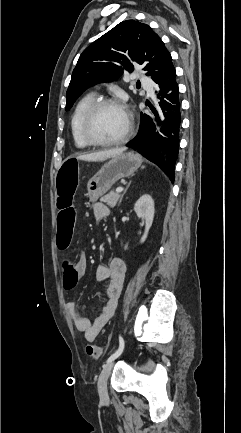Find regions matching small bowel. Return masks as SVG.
<instances>
[{"label": "small bowel", "mask_w": 241, "mask_h": 433, "mask_svg": "<svg viewBox=\"0 0 241 433\" xmlns=\"http://www.w3.org/2000/svg\"><path fill=\"white\" fill-rule=\"evenodd\" d=\"M56 181L55 178V182ZM92 211L94 218L97 220H102L109 215V208L101 202L94 203ZM86 266V255L82 252L80 253L77 262V271L80 275L85 273ZM125 272L126 264L123 259L119 257H113L108 265H99L96 268V279L98 281L109 280V284L106 290L104 305L101 312L94 320H89L80 314L75 302L71 301L66 304V309L75 328L84 334L85 339L88 342H93L95 340L103 327L114 315L122 290Z\"/></svg>", "instance_id": "obj_1"}]
</instances>
